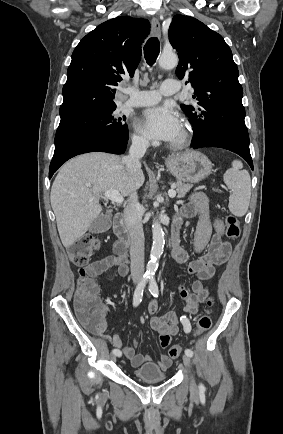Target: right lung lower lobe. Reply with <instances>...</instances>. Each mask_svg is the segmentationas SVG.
Masks as SVG:
<instances>
[{
  "label": "right lung lower lobe",
  "mask_w": 283,
  "mask_h": 434,
  "mask_svg": "<svg viewBox=\"0 0 283 434\" xmlns=\"http://www.w3.org/2000/svg\"><path fill=\"white\" fill-rule=\"evenodd\" d=\"M128 139L108 133L83 135L55 147L53 159L50 163L49 178L68 159L87 152H107L122 154L127 147Z\"/></svg>",
  "instance_id": "right-lung-lower-lobe-1"
}]
</instances>
